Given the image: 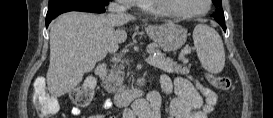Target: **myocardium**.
I'll list each match as a JSON object with an SVG mask.
<instances>
[{"instance_id": "f54148a6", "label": "myocardium", "mask_w": 273, "mask_h": 118, "mask_svg": "<svg viewBox=\"0 0 273 118\" xmlns=\"http://www.w3.org/2000/svg\"><path fill=\"white\" fill-rule=\"evenodd\" d=\"M205 3H206V7L204 10L186 13V12H182L178 10L175 7L173 0H155V4H156L158 12L164 13L166 15H173L179 18H185V19L195 18V17L202 16L208 13L211 7V0H205Z\"/></svg>"}]
</instances>
